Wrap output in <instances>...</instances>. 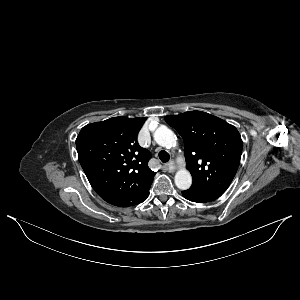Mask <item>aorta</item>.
<instances>
[{"instance_id":"aorta-1","label":"aorta","mask_w":300,"mask_h":300,"mask_svg":"<svg viewBox=\"0 0 300 300\" xmlns=\"http://www.w3.org/2000/svg\"><path fill=\"white\" fill-rule=\"evenodd\" d=\"M153 136L156 143L162 147L171 148L176 145V135L172 130H170L166 126L159 127L154 132ZM174 181L175 185L179 189L187 190L192 184V176L187 169L182 168L176 172Z\"/></svg>"}]
</instances>
